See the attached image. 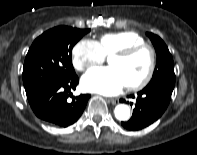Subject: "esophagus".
<instances>
[{
  "instance_id": "esophagus-1",
  "label": "esophagus",
  "mask_w": 197,
  "mask_h": 155,
  "mask_svg": "<svg viewBox=\"0 0 197 155\" xmlns=\"http://www.w3.org/2000/svg\"><path fill=\"white\" fill-rule=\"evenodd\" d=\"M107 101L110 102L113 105L118 103V101L116 99H107Z\"/></svg>"
}]
</instances>
